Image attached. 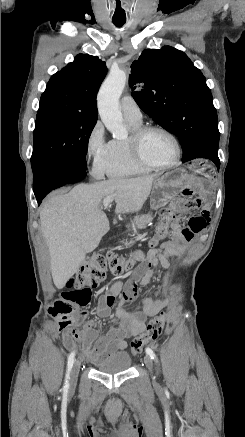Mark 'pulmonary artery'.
Segmentation results:
<instances>
[{
    "label": "pulmonary artery",
    "instance_id": "e3ab8cb5",
    "mask_svg": "<svg viewBox=\"0 0 245 437\" xmlns=\"http://www.w3.org/2000/svg\"><path fill=\"white\" fill-rule=\"evenodd\" d=\"M120 107L126 120L135 123L141 122L142 114L140 108L132 97L124 96L121 99Z\"/></svg>",
    "mask_w": 245,
    "mask_h": 437
}]
</instances>
